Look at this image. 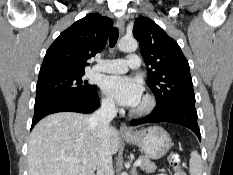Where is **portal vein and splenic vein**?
Returning <instances> with one entry per match:
<instances>
[{
	"mask_svg": "<svg viewBox=\"0 0 233 175\" xmlns=\"http://www.w3.org/2000/svg\"><path fill=\"white\" fill-rule=\"evenodd\" d=\"M68 161H70V162H81L83 164H86L88 162L87 159H81V160L80 159H69ZM141 164H142V161L140 159L136 160L135 163H134L135 166H140Z\"/></svg>",
	"mask_w": 233,
	"mask_h": 175,
	"instance_id": "portal-vein-and-splenic-vein-1",
	"label": "portal vein and splenic vein"
}]
</instances>
